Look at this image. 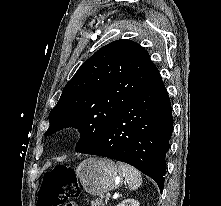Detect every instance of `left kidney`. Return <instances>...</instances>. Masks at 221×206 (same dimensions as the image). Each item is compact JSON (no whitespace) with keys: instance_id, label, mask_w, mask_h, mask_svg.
<instances>
[{"instance_id":"5707ae66","label":"left kidney","mask_w":221,"mask_h":206,"mask_svg":"<svg viewBox=\"0 0 221 206\" xmlns=\"http://www.w3.org/2000/svg\"><path fill=\"white\" fill-rule=\"evenodd\" d=\"M117 206H140V205L138 201H136L135 199H125Z\"/></svg>"}]
</instances>
